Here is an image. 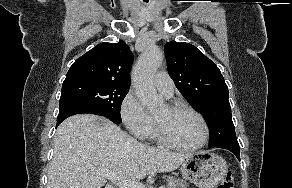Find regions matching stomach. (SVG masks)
I'll use <instances>...</instances> for the list:
<instances>
[{"label": "stomach", "mask_w": 292, "mask_h": 188, "mask_svg": "<svg viewBox=\"0 0 292 188\" xmlns=\"http://www.w3.org/2000/svg\"><path fill=\"white\" fill-rule=\"evenodd\" d=\"M183 177L199 188H214L225 177L228 166L221 156L201 150L190 154L181 164Z\"/></svg>", "instance_id": "obj_1"}]
</instances>
